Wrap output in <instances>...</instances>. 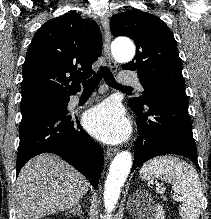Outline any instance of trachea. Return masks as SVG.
I'll return each instance as SVG.
<instances>
[{
	"label": "trachea",
	"mask_w": 211,
	"mask_h": 219,
	"mask_svg": "<svg viewBox=\"0 0 211 219\" xmlns=\"http://www.w3.org/2000/svg\"><path fill=\"white\" fill-rule=\"evenodd\" d=\"M102 78H104L105 82L112 88L132 90V87L130 86H122L121 84H118L110 69L107 66H103L92 78L82 83L84 88L83 91L84 92L94 91L97 88Z\"/></svg>",
	"instance_id": "obj_1"
}]
</instances>
